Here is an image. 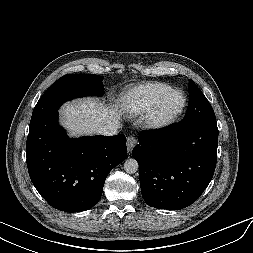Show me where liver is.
<instances>
[{
	"label": "liver",
	"instance_id": "6515ba94",
	"mask_svg": "<svg viewBox=\"0 0 253 253\" xmlns=\"http://www.w3.org/2000/svg\"><path fill=\"white\" fill-rule=\"evenodd\" d=\"M61 124L71 136L94 134L99 127L111 122L120 125L121 109L117 104L107 106L103 102L86 98L65 104L61 109Z\"/></svg>",
	"mask_w": 253,
	"mask_h": 253
}]
</instances>
